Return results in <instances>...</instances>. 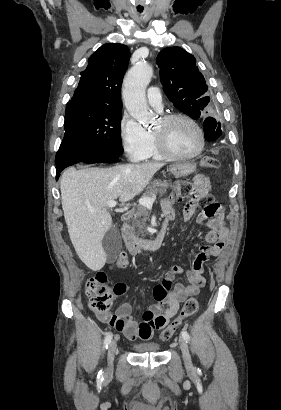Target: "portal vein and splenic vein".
Listing matches in <instances>:
<instances>
[{
    "label": "portal vein and splenic vein",
    "mask_w": 281,
    "mask_h": 410,
    "mask_svg": "<svg viewBox=\"0 0 281 410\" xmlns=\"http://www.w3.org/2000/svg\"><path fill=\"white\" fill-rule=\"evenodd\" d=\"M155 199H156L155 195L152 196V197H142V198L139 199L138 202H139V204H141L145 207H152ZM116 204H117V202L115 200H112V201L108 202V207L113 208V207L116 206ZM91 211L94 212L95 209H91Z\"/></svg>",
    "instance_id": "18ae733b"
}]
</instances>
